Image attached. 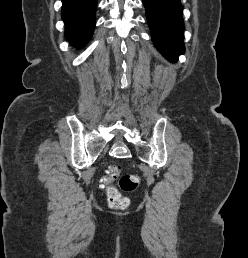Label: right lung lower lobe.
Returning a JSON list of instances; mask_svg holds the SVG:
<instances>
[{
  "label": "right lung lower lobe",
  "mask_w": 248,
  "mask_h": 258,
  "mask_svg": "<svg viewBox=\"0 0 248 258\" xmlns=\"http://www.w3.org/2000/svg\"><path fill=\"white\" fill-rule=\"evenodd\" d=\"M62 3L65 35L72 45L82 47L94 31L97 0H62Z\"/></svg>",
  "instance_id": "obj_1"
}]
</instances>
